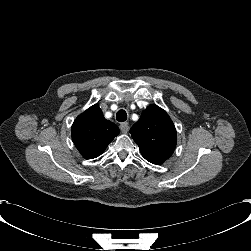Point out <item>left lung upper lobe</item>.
Returning a JSON list of instances; mask_svg holds the SVG:
<instances>
[{
    "mask_svg": "<svg viewBox=\"0 0 251 251\" xmlns=\"http://www.w3.org/2000/svg\"><path fill=\"white\" fill-rule=\"evenodd\" d=\"M142 156L153 164H162L174 152L177 135L168 114L157 105H149L130 129Z\"/></svg>",
    "mask_w": 251,
    "mask_h": 251,
    "instance_id": "5c2ea615",
    "label": "left lung upper lobe"
}]
</instances>
